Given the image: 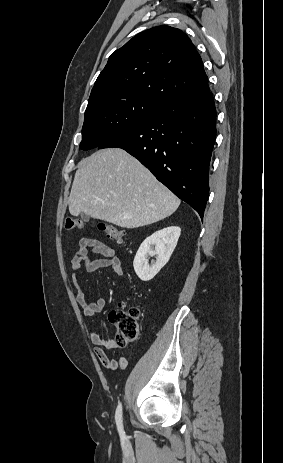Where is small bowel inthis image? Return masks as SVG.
<instances>
[{
  "label": "small bowel",
  "mask_w": 283,
  "mask_h": 463,
  "mask_svg": "<svg viewBox=\"0 0 283 463\" xmlns=\"http://www.w3.org/2000/svg\"><path fill=\"white\" fill-rule=\"evenodd\" d=\"M89 250L102 257L90 259ZM82 267L88 272L100 269H112L119 276L123 275L124 271L120 259L115 255V251L111 246L94 238L85 237L80 239L78 248L71 259L72 281L77 289V303L82 307L84 315L91 318L105 308L106 300L103 298L95 302H88L86 300L84 289L78 277V272ZM90 339L94 345V355L103 367L110 371L123 370L126 367L127 361L125 357H110L105 351V349H115L117 347L114 340H105L96 331L91 332Z\"/></svg>",
  "instance_id": "obj_1"
}]
</instances>
